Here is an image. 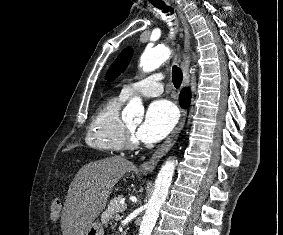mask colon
Wrapping results in <instances>:
<instances>
[{"label": "colon", "mask_w": 283, "mask_h": 235, "mask_svg": "<svg viewBox=\"0 0 283 235\" xmlns=\"http://www.w3.org/2000/svg\"><path fill=\"white\" fill-rule=\"evenodd\" d=\"M62 207V200L60 198H55L52 201L50 213L53 217H58Z\"/></svg>", "instance_id": "5ec220e1"}]
</instances>
